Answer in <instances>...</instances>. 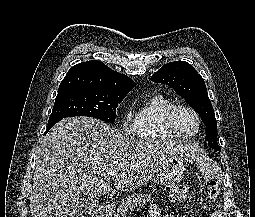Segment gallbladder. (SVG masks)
<instances>
[{"label": "gallbladder", "mask_w": 255, "mask_h": 217, "mask_svg": "<svg viewBox=\"0 0 255 217\" xmlns=\"http://www.w3.org/2000/svg\"><path fill=\"white\" fill-rule=\"evenodd\" d=\"M97 207V202L91 197H84L78 209L77 217H88L93 214Z\"/></svg>", "instance_id": "1"}]
</instances>
